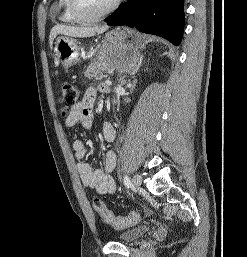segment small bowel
<instances>
[{
    "label": "small bowel",
    "instance_id": "c3829d8e",
    "mask_svg": "<svg viewBox=\"0 0 247 257\" xmlns=\"http://www.w3.org/2000/svg\"><path fill=\"white\" fill-rule=\"evenodd\" d=\"M106 84H100L97 89L89 88L86 90L81 101L76 103L64 113L65 126L71 128L81 124L83 128L90 129L93 124V108L97 97V92H103ZM102 136L106 142H111L115 138V129L110 122L102 124ZM75 157L78 160L77 170L81 181L85 187L94 189L97 193L113 194L116 191V183L110 173L116 165V154L108 151L105 156V169L94 170L85 161L88 149L83 141L75 140L73 143Z\"/></svg>",
    "mask_w": 247,
    "mask_h": 257
}]
</instances>
